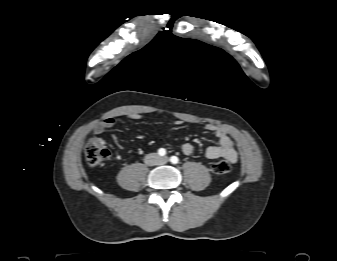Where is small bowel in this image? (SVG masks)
I'll list each match as a JSON object with an SVG mask.
<instances>
[{
    "instance_id": "obj_1",
    "label": "small bowel",
    "mask_w": 337,
    "mask_h": 261,
    "mask_svg": "<svg viewBox=\"0 0 337 261\" xmlns=\"http://www.w3.org/2000/svg\"><path fill=\"white\" fill-rule=\"evenodd\" d=\"M127 118L129 120H140L142 116L139 113H130L127 115ZM116 120L113 117H108L98 123L95 127V133L96 134H102L105 132L106 129L111 128L115 125ZM177 124H181L182 121L178 120L176 122ZM205 129L208 131H211L215 134V136L218 138V144L209 146L206 149V156L209 159H218V158H225L231 163H235L237 161V152L234 147V142L231 139L228 132L215 124H206ZM180 150L185 155H191L194 151V147L190 143H182L179 146Z\"/></svg>"
}]
</instances>
